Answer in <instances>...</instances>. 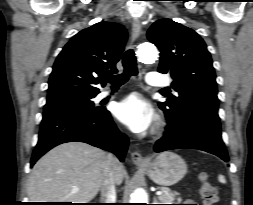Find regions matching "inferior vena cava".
Wrapping results in <instances>:
<instances>
[{"label": "inferior vena cava", "instance_id": "1", "mask_svg": "<svg viewBox=\"0 0 253 205\" xmlns=\"http://www.w3.org/2000/svg\"><path fill=\"white\" fill-rule=\"evenodd\" d=\"M113 156L109 154L107 156L105 169L103 173V181L101 185V201L102 203H115L116 201V190H115V179L113 175Z\"/></svg>", "mask_w": 253, "mask_h": 205}]
</instances>
